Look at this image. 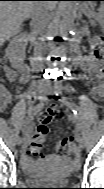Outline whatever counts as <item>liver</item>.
I'll return each mask as SVG.
<instances>
[{"label":"liver","instance_id":"obj_1","mask_svg":"<svg viewBox=\"0 0 104 189\" xmlns=\"http://www.w3.org/2000/svg\"><path fill=\"white\" fill-rule=\"evenodd\" d=\"M42 5L52 8L54 4L37 1H1L0 3V40L4 42L16 35L22 22L32 11Z\"/></svg>","mask_w":104,"mask_h":189}]
</instances>
